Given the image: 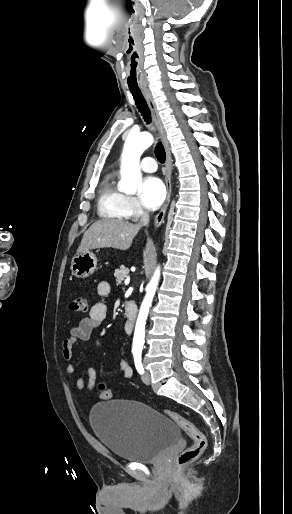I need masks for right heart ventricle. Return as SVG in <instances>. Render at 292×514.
<instances>
[{
  "label": "right heart ventricle",
  "instance_id": "right-heart-ventricle-1",
  "mask_svg": "<svg viewBox=\"0 0 292 514\" xmlns=\"http://www.w3.org/2000/svg\"><path fill=\"white\" fill-rule=\"evenodd\" d=\"M97 210L101 218H124L128 212L127 196L114 184V173L109 172L98 187Z\"/></svg>",
  "mask_w": 292,
  "mask_h": 514
}]
</instances>
